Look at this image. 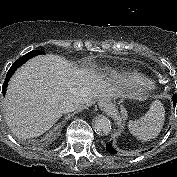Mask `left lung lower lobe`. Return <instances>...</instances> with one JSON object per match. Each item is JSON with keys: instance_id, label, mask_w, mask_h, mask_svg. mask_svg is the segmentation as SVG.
<instances>
[{"instance_id": "obj_1", "label": "left lung lower lobe", "mask_w": 177, "mask_h": 177, "mask_svg": "<svg viewBox=\"0 0 177 177\" xmlns=\"http://www.w3.org/2000/svg\"><path fill=\"white\" fill-rule=\"evenodd\" d=\"M176 99H177V97H176V94H175V95H173V97H172L173 106L176 105ZM106 150H107L109 153H111V154H116V153H117L116 150H115V149L113 148V146H112V142H109V143L106 144Z\"/></svg>"}]
</instances>
